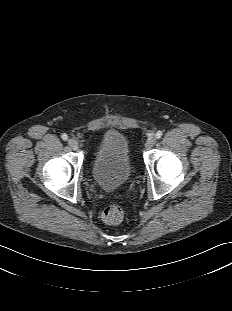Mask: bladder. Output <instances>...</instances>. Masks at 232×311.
<instances>
[{"mask_svg": "<svg viewBox=\"0 0 232 311\" xmlns=\"http://www.w3.org/2000/svg\"><path fill=\"white\" fill-rule=\"evenodd\" d=\"M132 162L126 137L108 130L99 138L91 165L93 181L105 190L123 186L129 179Z\"/></svg>", "mask_w": 232, "mask_h": 311, "instance_id": "1", "label": "bladder"}]
</instances>
